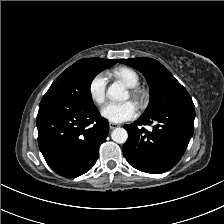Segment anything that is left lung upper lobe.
Here are the masks:
<instances>
[{
	"mask_svg": "<svg viewBox=\"0 0 224 224\" xmlns=\"http://www.w3.org/2000/svg\"><path fill=\"white\" fill-rule=\"evenodd\" d=\"M120 62L142 72L148 81L150 104L142 116H152L168 106L192 100L187 90L158 61L139 57L120 59Z\"/></svg>",
	"mask_w": 224,
	"mask_h": 224,
	"instance_id": "5c2ea615",
	"label": "left lung upper lobe"
}]
</instances>
